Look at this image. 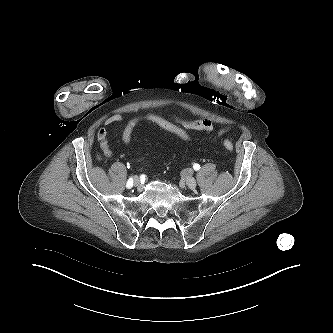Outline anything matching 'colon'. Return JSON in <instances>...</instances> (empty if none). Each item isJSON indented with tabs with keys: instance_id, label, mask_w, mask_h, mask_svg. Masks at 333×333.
<instances>
[{
	"instance_id": "obj_1",
	"label": "colon",
	"mask_w": 333,
	"mask_h": 333,
	"mask_svg": "<svg viewBox=\"0 0 333 333\" xmlns=\"http://www.w3.org/2000/svg\"><path fill=\"white\" fill-rule=\"evenodd\" d=\"M145 123L157 125L160 128L175 134L182 140L189 141L191 139L185 129L173 123L172 121L164 118L163 116L155 113H144L131 118L126 123L122 132V140L127 144L130 143L136 128L139 125ZM223 144L228 151L230 152L233 151L234 147L231 141L224 140Z\"/></svg>"
}]
</instances>
